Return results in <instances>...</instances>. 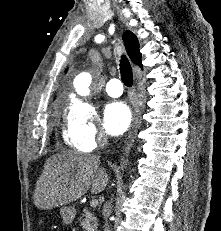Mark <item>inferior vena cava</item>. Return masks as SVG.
I'll list each match as a JSON object with an SVG mask.
<instances>
[{
  "label": "inferior vena cava",
  "mask_w": 221,
  "mask_h": 231,
  "mask_svg": "<svg viewBox=\"0 0 221 231\" xmlns=\"http://www.w3.org/2000/svg\"><path fill=\"white\" fill-rule=\"evenodd\" d=\"M108 143V136L106 134H101L99 137V146L104 147ZM104 211H105V225H104V231H111L110 225L108 223V218L110 216V211H111V204L109 202H106L104 205Z\"/></svg>",
  "instance_id": "inferior-vena-cava-1"
}]
</instances>
